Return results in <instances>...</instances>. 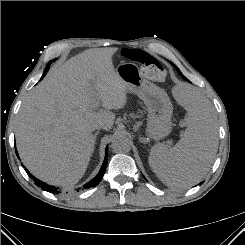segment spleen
Here are the masks:
<instances>
[{
    "mask_svg": "<svg viewBox=\"0 0 245 245\" xmlns=\"http://www.w3.org/2000/svg\"><path fill=\"white\" fill-rule=\"evenodd\" d=\"M183 105L187 128L174 147L153 146L148 163L156 176L171 189H185L209 171L219 144L217 116L200 91L184 88Z\"/></svg>",
    "mask_w": 245,
    "mask_h": 245,
    "instance_id": "spleen-1",
    "label": "spleen"
}]
</instances>
